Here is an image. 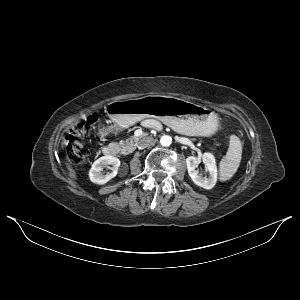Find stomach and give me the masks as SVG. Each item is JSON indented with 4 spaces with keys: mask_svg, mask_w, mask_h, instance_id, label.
Wrapping results in <instances>:
<instances>
[{
    "mask_svg": "<svg viewBox=\"0 0 300 300\" xmlns=\"http://www.w3.org/2000/svg\"><path fill=\"white\" fill-rule=\"evenodd\" d=\"M109 118L121 128H128L145 118H156L173 129L192 136H212L219 130L217 114L201 105L166 95H148L111 102Z\"/></svg>",
    "mask_w": 300,
    "mask_h": 300,
    "instance_id": "1",
    "label": "stomach"
}]
</instances>
